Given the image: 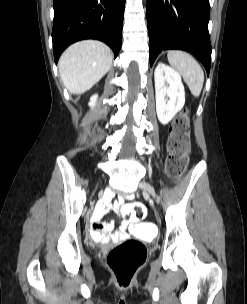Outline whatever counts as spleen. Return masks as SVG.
<instances>
[{
  "label": "spleen",
  "mask_w": 247,
  "mask_h": 304,
  "mask_svg": "<svg viewBox=\"0 0 247 304\" xmlns=\"http://www.w3.org/2000/svg\"><path fill=\"white\" fill-rule=\"evenodd\" d=\"M168 61L183 77L193 96L198 97L204 83V73L198 62L188 53L171 50Z\"/></svg>",
  "instance_id": "1"
}]
</instances>
